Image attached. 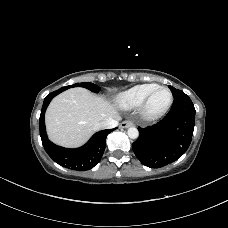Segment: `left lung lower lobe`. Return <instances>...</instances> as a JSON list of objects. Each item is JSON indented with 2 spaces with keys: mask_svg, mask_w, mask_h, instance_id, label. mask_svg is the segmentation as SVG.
<instances>
[{
  "mask_svg": "<svg viewBox=\"0 0 228 228\" xmlns=\"http://www.w3.org/2000/svg\"><path fill=\"white\" fill-rule=\"evenodd\" d=\"M195 108L187 95L174 98L169 113L157 124L138 127L139 137L132 144L140 162L160 168L180 158L188 149L193 135Z\"/></svg>",
  "mask_w": 228,
  "mask_h": 228,
  "instance_id": "obj_1",
  "label": "left lung lower lobe"
}]
</instances>
